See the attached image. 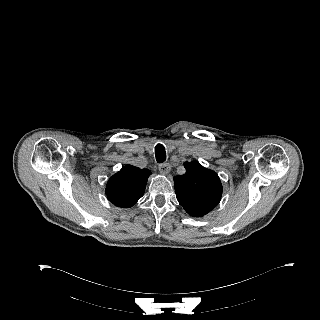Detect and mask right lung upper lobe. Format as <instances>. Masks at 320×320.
I'll use <instances>...</instances> for the list:
<instances>
[{"instance_id": "right-lung-upper-lobe-1", "label": "right lung upper lobe", "mask_w": 320, "mask_h": 320, "mask_svg": "<svg viewBox=\"0 0 320 320\" xmlns=\"http://www.w3.org/2000/svg\"><path fill=\"white\" fill-rule=\"evenodd\" d=\"M151 171L126 165L114 174L106 186L110 202L121 208L132 207L144 194Z\"/></svg>"}]
</instances>
